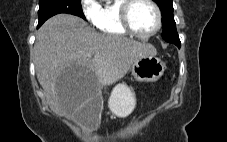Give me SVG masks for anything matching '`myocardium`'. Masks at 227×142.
Masks as SVG:
<instances>
[{
    "label": "myocardium",
    "mask_w": 227,
    "mask_h": 142,
    "mask_svg": "<svg viewBox=\"0 0 227 142\" xmlns=\"http://www.w3.org/2000/svg\"><path fill=\"white\" fill-rule=\"evenodd\" d=\"M137 1L138 0H123V3L121 4L120 11H119L120 22H121V25L123 26V28L129 34L136 36L138 38L148 39V38L153 37L154 35H156L160 31V29L162 27V23H163L162 11H161L159 5L154 0H145L154 8V10L156 12L157 25H156V28L153 31H151L147 34L139 33L132 26L131 19H130L131 9Z\"/></svg>",
    "instance_id": "obj_1"
}]
</instances>
